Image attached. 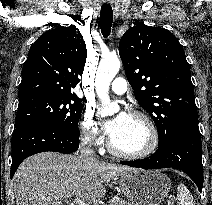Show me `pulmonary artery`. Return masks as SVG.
<instances>
[{"instance_id": "1", "label": "pulmonary artery", "mask_w": 212, "mask_h": 205, "mask_svg": "<svg viewBox=\"0 0 212 205\" xmlns=\"http://www.w3.org/2000/svg\"><path fill=\"white\" fill-rule=\"evenodd\" d=\"M111 90L115 94L122 95L127 91V82L124 78L118 77L111 84Z\"/></svg>"}]
</instances>
